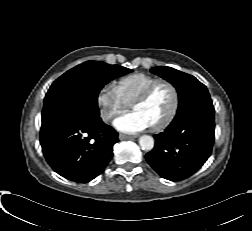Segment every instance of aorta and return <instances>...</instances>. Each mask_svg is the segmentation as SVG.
<instances>
[{"instance_id":"aorta-1","label":"aorta","mask_w":252,"mask_h":231,"mask_svg":"<svg viewBox=\"0 0 252 231\" xmlns=\"http://www.w3.org/2000/svg\"><path fill=\"white\" fill-rule=\"evenodd\" d=\"M139 144L143 150L150 151L154 147V139L152 136L143 135L139 138Z\"/></svg>"}]
</instances>
